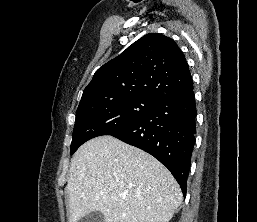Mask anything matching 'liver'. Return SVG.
<instances>
[{
    "label": "liver",
    "mask_w": 257,
    "mask_h": 222,
    "mask_svg": "<svg viewBox=\"0 0 257 222\" xmlns=\"http://www.w3.org/2000/svg\"><path fill=\"white\" fill-rule=\"evenodd\" d=\"M67 192L69 222L93 211L105 222H168L183 199L157 159L109 135L87 141L73 155Z\"/></svg>",
    "instance_id": "obj_1"
}]
</instances>
